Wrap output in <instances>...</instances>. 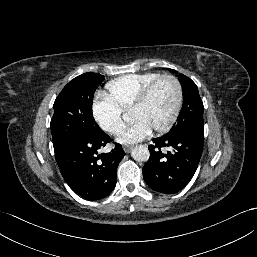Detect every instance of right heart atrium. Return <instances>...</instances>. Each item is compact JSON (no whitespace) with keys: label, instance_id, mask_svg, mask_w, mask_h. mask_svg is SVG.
<instances>
[{"label":"right heart atrium","instance_id":"obj_1","mask_svg":"<svg viewBox=\"0 0 257 257\" xmlns=\"http://www.w3.org/2000/svg\"><path fill=\"white\" fill-rule=\"evenodd\" d=\"M104 102L110 105L116 113V120L113 124H106L99 120L96 109L93 107V117L97 122L98 126L106 133L110 135H117L122 128V110L119 109L107 96L104 97Z\"/></svg>","mask_w":257,"mask_h":257}]
</instances>
